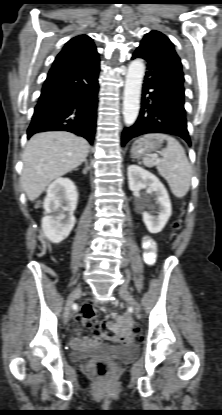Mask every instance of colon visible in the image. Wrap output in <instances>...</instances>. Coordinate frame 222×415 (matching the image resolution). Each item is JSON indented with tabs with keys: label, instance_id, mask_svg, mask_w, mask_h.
I'll use <instances>...</instances> for the list:
<instances>
[{
	"label": "colon",
	"instance_id": "colon-1",
	"mask_svg": "<svg viewBox=\"0 0 222 415\" xmlns=\"http://www.w3.org/2000/svg\"><path fill=\"white\" fill-rule=\"evenodd\" d=\"M173 227L174 229H178L180 223L178 221L174 222ZM80 322L94 334H102L114 342H125L141 338L139 328L128 330L123 326V322H108L102 317L100 312L90 307L82 309L80 313ZM94 370L98 377L106 376L110 372L109 366L105 362H98L95 365Z\"/></svg>",
	"mask_w": 222,
	"mask_h": 415
}]
</instances>
